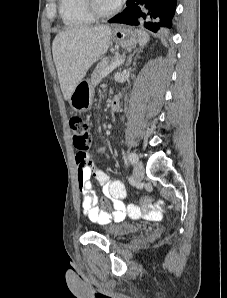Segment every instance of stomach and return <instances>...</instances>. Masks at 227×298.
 Returning a JSON list of instances; mask_svg holds the SVG:
<instances>
[{"mask_svg":"<svg viewBox=\"0 0 227 298\" xmlns=\"http://www.w3.org/2000/svg\"><path fill=\"white\" fill-rule=\"evenodd\" d=\"M111 40L122 48H131L139 42V34L130 28L117 26L112 31ZM94 97V87L87 81L82 80L72 92L69 103L76 112L83 113L91 109Z\"/></svg>","mask_w":227,"mask_h":298,"instance_id":"0dacf381","label":"stomach"}]
</instances>
